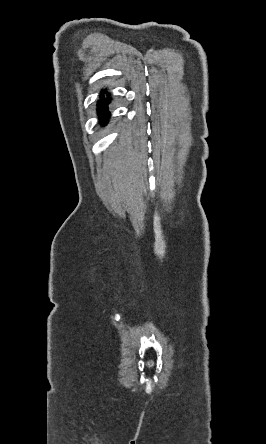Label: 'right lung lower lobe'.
<instances>
[{
	"label": "right lung lower lobe",
	"instance_id": "98d812e1",
	"mask_svg": "<svg viewBox=\"0 0 266 444\" xmlns=\"http://www.w3.org/2000/svg\"><path fill=\"white\" fill-rule=\"evenodd\" d=\"M101 99L98 102V113H99V117L101 119V123L105 124L108 120V116H109V111H108V107L107 104L110 102L109 99H105L103 94H101Z\"/></svg>",
	"mask_w": 266,
	"mask_h": 444
}]
</instances>
